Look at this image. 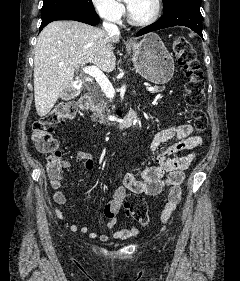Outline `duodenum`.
<instances>
[{
    "instance_id": "1",
    "label": "duodenum",
    "mask_w": 240,
    "mask_h": 281,
    "mask_svg": "<svg viewBox=\"0 0 240 281\" xmlns=\"http://www.w3.org/2000/svg\"><path fill=\"white\" fill-rule=\"evenodd\" d=\"M91 98L88 95H84L79 100V107L83 112H87L91 106ZM137 118L135 110H129L127 112H120L117 120L111 125V129L114 131L122 130L128 127Z\"/></svg>"
}]
</instances>
